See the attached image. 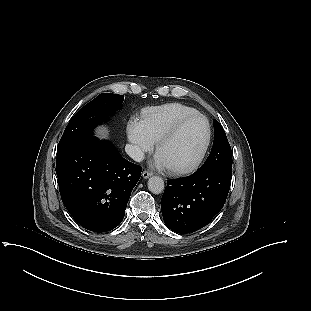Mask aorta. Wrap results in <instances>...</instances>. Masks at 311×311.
I'll return each mask as SVG.
<instances>
[{"instance_id":"1","label":"aorta","mask_w":311,"mask_h":311,"mask_svg":"<svg viewBox=\"0 0 311 311\" xmlns=\"http://www.w3.org/2000/svg\"><path fill=\"white\" fill-rule=\"evenodd\" d=\"M164 180L159 176H152L148 180V189L153 194H160L164 191Z\"/></svg>"}]
</instances>
